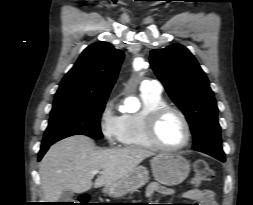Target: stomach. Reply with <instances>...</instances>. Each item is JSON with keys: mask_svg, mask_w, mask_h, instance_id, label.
Instances as JSON below:
<instances>
[{"mask_svg": "<svg viewBox=\"0 0 253 205\" xmlns=\"http://www.w3.org/2000/svg\"><path fill=\"white\" fill-rule=\"evenodd\" d=\"M153 176L166 186L182 183L190 172L189 161L177 154L161 153L151 160ZM149 180L148 170L137 166L127 176L105 186L104 193L111 197H121L144 186Z\"/></svg>", "mask_w": 253, "mask_h": 205, "instance_id": "obj_1", "label": "stomach"}]
</instances>
